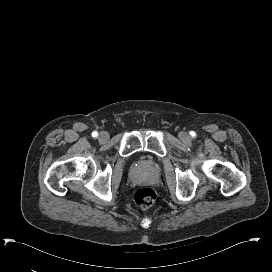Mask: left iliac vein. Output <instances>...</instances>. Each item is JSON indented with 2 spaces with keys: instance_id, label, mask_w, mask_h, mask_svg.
Here are the masks:
<instances>
[{
  "instance_id": "4c4485c4",
  "label": "left iliac vein",
  "mask_w": 272,
  "mask_h": 272,
  "mask_svg": "<svg viewBox=\"0 0 272 272\" xmlns=\"http://www.w3.org/2000/svg\"><path fill=\"white\" fill-rule=\"evenodd\" d=\"M179 138H180V140L183 141L184 143L189 142L190 139H191L190 136H189V134L186 133V132H181V133L179 134Z\"/></svg>"
}]
</instances>
